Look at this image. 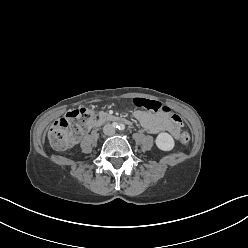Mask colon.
<instances>
[{"label":"colon","instance_id":"colon-1","mask_svg":"<svg viewBox=\"0 0 248 248\" xmlns=\"http://www.w3.org/2000/svg\"><path fill=\"white\" fill-rule=\"evenodd\" d=\"M133 104L139 108L151 111L168 112V108L160 102L146 98H135ZM95 119V113L88 108H77L68 112L65 116L57 119L49 129L48 138L52 147L56 150H65L76 142L83 132L90 126ZM174 122L181 124L180 116L172 115ZM181 141L187 144L190 135L187 131L182 132Z\"/></svg>","mask_w":248,"mask_h":248}]
</instances>
